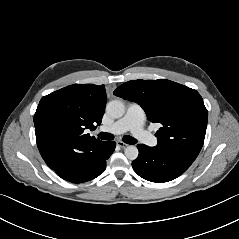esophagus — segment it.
Wrapping results in <instances>:
<instances>
[{"label": "esophagus", "mask_w": 239, "mask_h": 239, "mask_svg": "<svg viewBox=\"0 0 239 239\" xmlns=\"http://www.w3.org/2000/svg\"><path fill=\"white\" fill-rule=\"evenodd\" d=\"M117 146H119V147H121V148H125V147H127L128 146V144H126V143H124V142H122V141H117Z\"/></svg>", "instance_id": "obj_1"}]
</instances>
